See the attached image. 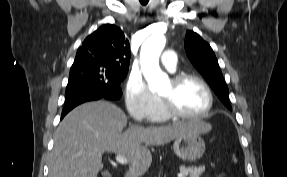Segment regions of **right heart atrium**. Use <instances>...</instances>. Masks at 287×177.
I'll return each mask as SVG.
<instances>
[{
  "mask_svg": "<svg viewBox=\"0 0 287 177\" xmlns=\"http://www.w3.org/2000/svg\"><path fill=\"white\" fill-rule=\"evenodd\" d=\"M124 101L136 122L151 120L158 107V97L150 91L145 80L137 74L129 76L124 88Z\"/></svg>",
  "mask_w": 287,
  "mask_h": 177,
  "instance_id": "obj_1",
  "label": "right heart atrium"
}]
</instances>
